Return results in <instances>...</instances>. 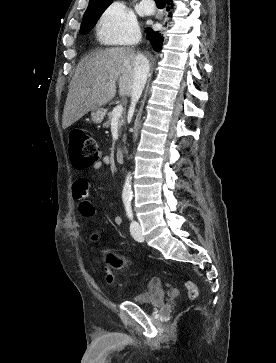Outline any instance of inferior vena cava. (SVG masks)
Listing matches in <instances>:
<instances>
[{"instance_id": "1", "label": "inferior vena cava", "mask_w": 276, "mask_h": 363, "mask_svg": "<svg viewBox=\"0 0 276 363\" xmlns=\"http://www.w3.org/2000/svg\"><path fill=\"white\" fill-rule=\"evenodd\" d=\"M150 71V64L143 53H138L135 58L134 63V77H133V87L131 94V105L129 108V113H133L135 110V105L142 95L143 89L145 87L147 77Z\"/></svg>"}]
</instances>
